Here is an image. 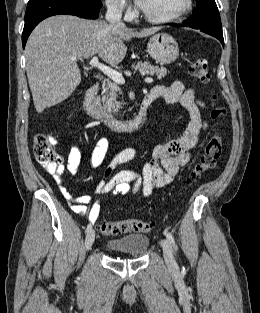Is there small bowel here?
Returning <instances> with one entry per match:
<instances>
[{
  "label": "small bowel",
  "instance_id": "1",
  "mask_svg": "<svg viewBox=\"0 0 260 313\" xmlns=\"http://www.w3.org/2000/svg\"><path fill=\"white\" fill-rule=\"evenodd\" d=\"M147 96L151 97L153 102L161 100L168 104L180 103L190 116L184 133L170 142L157 145L153 150L152 159L145 163L141 174L127 170L114 172L117 166L140 158L136 149L127 148L117 152L108 162L102 179L95 187L96 195L126 196L140 193L147 197L155 188L170 185L180 169L190 163L192 150L199 143L201 133L207 128V122L202 115V110L205 108L204 103L196 99L192 88L185 89L183 83L178 80L170 86L152 88ZM107 149V139L99 138L90 158L92 168L98 167L103 162ZM81 158L82 148L76 145L68 154L66 170L71 174H77ZM63 169L57 174L55 181L70 210L76 214L86 215L92 223H95L99 217L100 200H95L88 208L87 204L92 201L90 195L72 197L64 185Z\"/></svg>",
  "mask_w": 260,
  "mask_h": 313
}]
</instances>
